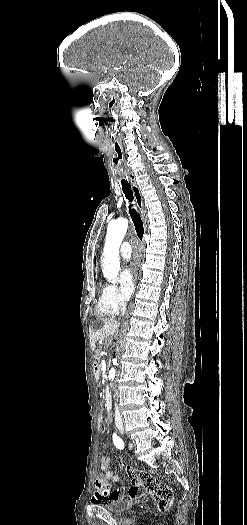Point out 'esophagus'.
<instances>
[{
	"mask_svg": "<svg viewBox=\"0 0 247 525\" xmlns=\"http://www.w3.org/2000/svg\"><path fill=\"white\" fill-rule=\"evenodd\" d=\"M131 184H132V190L134 192V197H135L137 207L139 208L140 212L144 216L145 226H146L145 210H144L143 198H142L140 189L136 183V180H131Z\"/></svg>",
	"mask_w": 247,
	"mask_h": 525,
	"instance_id": "34e87169",
	"label": "esophagus"
}]
</instances>
